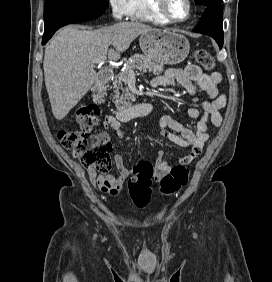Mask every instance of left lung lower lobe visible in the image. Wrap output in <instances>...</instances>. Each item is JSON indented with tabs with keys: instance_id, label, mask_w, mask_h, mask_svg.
Wrapping results in <instances>:
<instances>
[{
	"instance_id": "obj_1",
	"label": "left lung lower lobe",
	"mask_w": 272,
	"mask_h": 282,
	"mask_svg": "<svg viewBox=\"0 0 272 282\" xmlns=\"http://www.w3.org/2000/svg\"><path fill=\"white\" fill-rule=\"evenodd\" d=\"M193 31L211 36L216 40L221 49L223 46V28L220 5L207 6L205 14Z\"/></svg>"
}]
</instances>
